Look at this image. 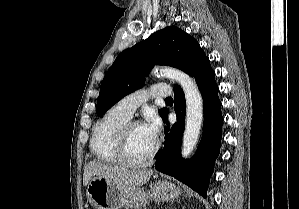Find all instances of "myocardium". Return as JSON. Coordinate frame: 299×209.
Here are the masks:
<instances>
[{"instance_id":"myocardium-1","label":"myocardium","mask_w":299,"mask_h":209,"mask_svg":"<svg viewBox=\"0 0 299 209\" xmlns=\"http://www.w3.org/2000/svg\"><path fill=\"white\" fill-rule=\"evenodd\" d=\"M135 126H141L138 121L128 120L118 131L116 139V155L119 163L130 168H144L149 166L159 151V144L155 143V146L148 157L142 161H132L127 155L128 135L130 130Z\"/></svg>"}]
</instances>
